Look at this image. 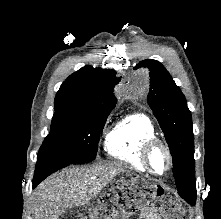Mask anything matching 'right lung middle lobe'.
Instances as JSON below:
<instances>
[{
	"instance_id": "dd1d6c3e",
	"label": "right lung middle lobe",
	"mask_w": 221,
	"mask_h": 219,
	"mask_svg": "<svg viewBox=\"0 0 221 219\" xmlns=\"http://www.w3.org/2000/svg\"><path fill=\"white\" fill-rule=\"evenodd\" d=\"M110 112L97 116H81L55 112L51 131L45 138L38 160L54 158L70 164H82L95 159L99 136Z\"/></svg>"
}]
</instances>
